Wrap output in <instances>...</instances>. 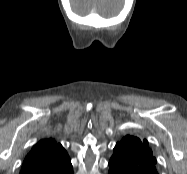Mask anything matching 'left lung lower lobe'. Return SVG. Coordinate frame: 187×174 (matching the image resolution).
<instances>
[{
	"label": "left lung lower lobe",
	"instance_id": "1",
	"mask_svg": "<svg viewBox=\"0 0 187 174\" xmlns=\"http://www.w3.org/2000/svg\"><path fill=\"white\" fill-rule=\"evenodd\" d=\"M111 167L108 174H158L155 172L147 171L146 169H138L140 173L131 172V170L122 164H109Z\"/></svg>",
	"mask_w": 187,
	"mask_h": 174
}]
</instances>
